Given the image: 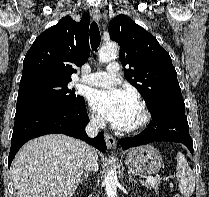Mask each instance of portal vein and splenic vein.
Returning <instances> with one entry per match:
<instances>
[{"label":"portal vein and splenic vein","mask_w":209,"mask_h":197,"mask_svg":"<svg viewBox=\"0 0 209 197\" xmlns=\"http://www.w3.org/2000/svg\"><path fill=\"white\" fill-rule=\"evenodd\" d=\"M144 183H148V184H152L157 182V178H148L145 181H143Z\"/></svg>","instance_id":"obj_1"}]
</instances>
